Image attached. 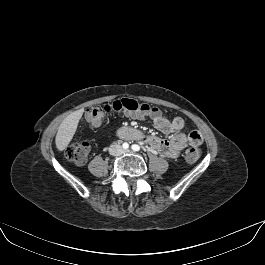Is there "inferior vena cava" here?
I'll use <instances>...</instances> for the list:
<instances>
[{"instance_id": "inferior-vena-cava-1", "label": "inferior vena cava", "mask_w": 265, "mask_h": 265, "mask_svg": "<svg viewBox=\"0 0 265 265\" xmlns=\"http://www.w3.org/2000/svg\"><path fill=\"white\" fill-rule=\"evenodd\" d=\"M123 152H124V149L122 148V146L118 144H112L109 147V153L113 156L121 155Z\"/></svg>"}]
</instances>
